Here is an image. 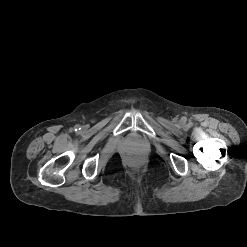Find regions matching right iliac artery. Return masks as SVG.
Listing matches in <instances>:
<instances>
[{
	"label": "right iliac artery",
	"mask_w": 247,
	"mask_h": 247,
	"mask_svg": "<svg viewBox=\"0 0 247 247\" xmlns=\"http://www.w3.org/2000/svg\"><path fill=\"white\" fill-rule=\"evenodd\" d=\"M80 129V126L79 125H76L75 126V131L79 130Z\"/></svg>",
	"instance_id": "1"
}]
</instances>
